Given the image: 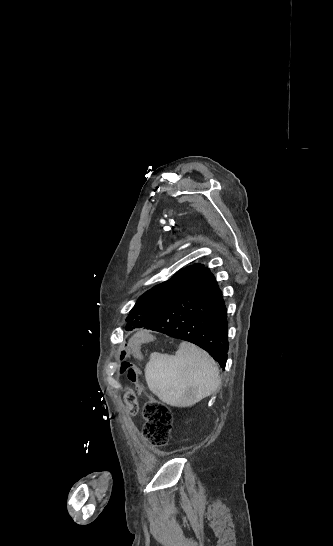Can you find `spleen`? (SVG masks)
<instances>
[{
    "label": "spleen",
    "mask_w": 333,
    "mask_h": 546,
    "mask_svg": "<svg viewBox=\"0 0 333 546\" xmlns=\"http://www.w3.org/2000/svg\"><path fill=\"white\" fill-rule=\"evenodd\" d=\"M149 389L163 402L188 407L221 384L215 361L197 346L182 342L175 355L154 352L145 367Z\"/></svg>",
    "instance_id": "spleen-1"
}]
</instances>
